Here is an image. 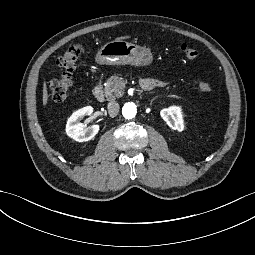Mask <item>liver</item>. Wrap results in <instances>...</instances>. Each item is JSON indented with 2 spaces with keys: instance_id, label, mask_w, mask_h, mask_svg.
<instances>
[{
  "instance_id": "6515ba94",
  "label": "liver",
  "mask_w": 255,
  "mask_h": 255,
  "mask_svg": "<svg viewBox=\"0 0 255 255\" xmlns=\"http://www.w3.org/2000/svg\"><path fill=\"white\" fill-rule=\"evenodd\" d=\"M131 36L127 35V36H120V37H116L113 39V41H119V40H127V39H130ZM48 98H49V94H48V87H47V83L46 81L44 82V85H43V99H42V102H43V107L45 108L48 104Z\"/></svg>"
}]
</instances>
